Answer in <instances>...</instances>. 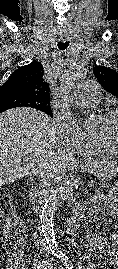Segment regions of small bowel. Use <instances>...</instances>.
<instances>
[{
    "mask_svg": "<svg viewBox=\"0 0 118 269\" xmlns=\"http://www.w3.org/2000/svg\"><path fill=\"white\" fill-rule=\"evenodd\" d=\"M107 203L110 213L118 215V195H114ZM111 240L113 244L118 245V231L112 235ZM87 244L90 248L101 250L109 263L118 266V251L108 246L100 235L90 234L87 237ZM16 269H28V267L21 264Z\"/></svg>",
    "mask_w": 118,
    "mask_h": 269,
    "instance_id": "c3829d8e",
    "label": "small bowel"
}]
</instances>
